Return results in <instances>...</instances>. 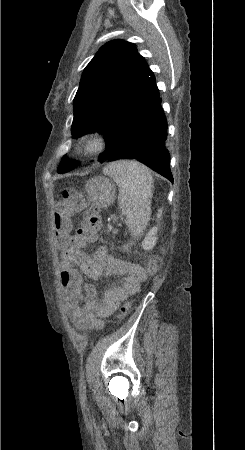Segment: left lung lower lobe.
Here are the masks:
<instances>
[{
    "label": "left lung lower lobe",
    "instance_id": "1",
    "mask_svg": "<svg viewBox=\"0 0 245 450\" xmlns=\"http://www.w3.org/2000/svg\"><path fill=\"white\" fill-rule=\"evenodd\" d=\"M167 120L161 98L146 109L129 140L118 152L105 155L103 160L136 159L161 174L171 182L170 154L166 147Z\"/></svg>",
    "mask_w": 245,
    "mask_h": 450
}]
</instances>
